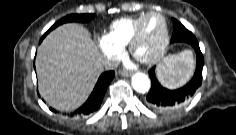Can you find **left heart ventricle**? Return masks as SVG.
<instances>
[{
    "instance_id": "left-heart-ventricle-1",
    "label": "left heart ventricle",
    "mask_w": 236,
    "mask_h": 135,
    "mask_svg": "<svg viewBox=\"0 0 236 135\" xmlns=\"http://www.w3.org/2000/svg\"><path fill=\"white\" fill-rule=\"evenodd\" d=\"M163 31V23L158 17L152 16L148 18L143 26L141 39L136 47V54L139 57L152 55L161 43Z\"/></svg>"
}]
</instances>
